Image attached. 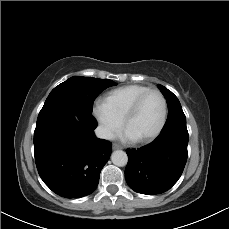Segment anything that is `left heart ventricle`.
<instances>
[{"label":"left heart ventricle","mask_w":229,"mask_h":229,"mask_svg":"<svg viewBox=\"0 0 229 229\" xmlns=\"http://www.w3.org/2000/svg\"><path fill=\"white\" fill-rule=\"evenodd\" d=\"M162 113L163 105L160 96L156 93L149 94L126 126L125 134L133 139L151 134L159 126Z\"/></svg>","instance_id":"b2bd125f"}]
</instances>
